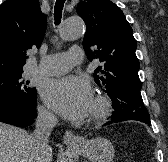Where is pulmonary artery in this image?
<instances>
[{"label":"pulmonary artery","mask_w":168,"mask_h":162,"mask_svg":"<svg viewBox=\"0 0 168 162\" xmlns=\"http://www.w3.org/2000/svg\"><path fill=\"white\" fill-rule=\"evenodd\" d=\"M82 59V48L73 46L67 52L42 57L37 71L44 75L64 74L74 65L80 63Z\"/></svg>","instance_id":"e3ab8cb5"}]
</instances>
